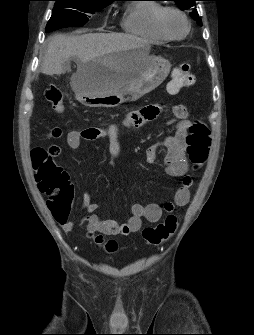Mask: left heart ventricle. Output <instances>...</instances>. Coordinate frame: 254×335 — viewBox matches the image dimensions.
Segmentation results:
<instances>
[{"label": "left heart ventricle", "mask_w": 254, "mask_h": 335, "mask_svg": "<svg viewBox=\"0 0 254 335\" xmlns=\"http://www.w3.org/2000/svg\"><path fill=\"white\" fill-rule=\"evenodd\" d=\"M162 24L164 30L174 37L182 35L186 30L185 21L180 15L174 12L165 13L163 15Z\"/></svg>", "instance_id": "b2bd125f"}]
</instances>
